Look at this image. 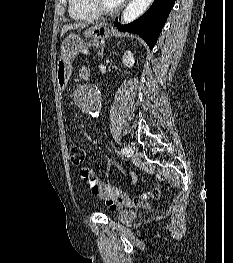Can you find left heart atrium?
<instances>
[{
	"label": "left heart atrium",
	"instance_id": "obj_1",
	"mask_svg": "<svg viewBox=\"0 0 233 263\" xmlns=\"http://www.w3.org/2000/svg\"><path fill=\"white\" fill-rule=\"evenodd\" d=\"M124 0H118V2L120 3V2H123Z\"/></svg>",
	"mask_w": 233,
	"mask_h": 263
}]
</instances>
